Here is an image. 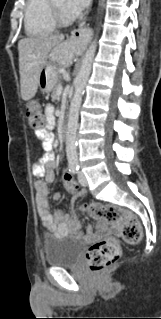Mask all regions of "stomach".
<instances>
[{
    "instance_id": "obj_1",
    "label": "stomach",
    "mask_w": 161,
    "mask_h": 319,
    "mask_svg": "<svg viewBox=\"0 0 161 319\" xmlns=\"http://www.w3.org/2000/svg\"><path fill=\"white\" fill-rule=\"evenodd\" d=\"M74 49L72 41L63 42L51 49L48 56V63L39 75V87L43 92H49L53 89L58 81V68L67 66L70 60V55Z\"/></svg>"
}]
</instances>
